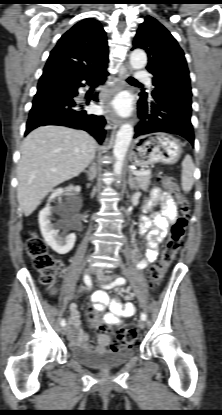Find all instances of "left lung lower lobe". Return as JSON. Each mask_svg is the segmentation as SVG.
<instances>
[{"label":"left lung lower lobe","instance_id":"obj_1","mask_svg":"<svg viewBox=\"0 0 222 415\" xmlns=\"http://www.w3.org/2000/svg\"><path fill=\"white\" fill-rule=\"evenodd\" d=\"M153 95L138 102L141 121L135 128L134 138L154 132L177 134L194 145L191 124L190 78L181 75L162 77L154 84Z\"/></svg>","mask_w":222,"mask_h":415}]
</instances>
